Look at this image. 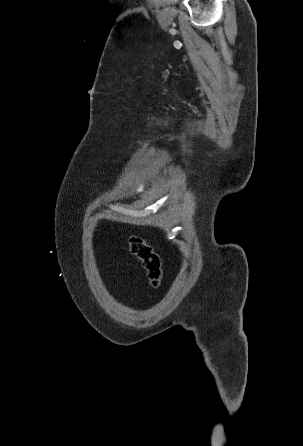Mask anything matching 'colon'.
<instances>
[{
	"label": "colon",
	"instance_id": "5ec220e1",
	"mask_svg": "<svg viewBox=\"0 0 303 446\" xmlns=\"http://www.w3.org/2000/svg\"><path fill=\"white\" fill-rule=\"evenodd\" d=\"M129 250L140 261L146 272L149 285L156 289L162 280V262L159 254L140 236L129 238Z\"/></svg>",
	"mask_w": 303,
	"mask_h": 446
}]
</instances>
